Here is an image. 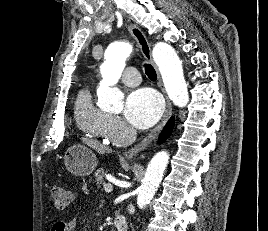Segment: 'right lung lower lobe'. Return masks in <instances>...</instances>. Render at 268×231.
<instances>
[{
  "label": "right lung lower lobe",
  "instance_id": "98d812e1",
  "mask_svg": "<svg viewBox=\"0 0 268 231\" xmlns=\"http://www.w3.org/2000/svg\"><path fill=\"white\" fill-rule=\"evenodd\" d=\"M173 127H174V119L171 118L169 122L166 124L165 128L163 129L159 137L160 142L166 140L170 136V134L172 133Z\"/></svg>",
  "mask_w": 268,
  "mask_h": 231
}]
</instances>
